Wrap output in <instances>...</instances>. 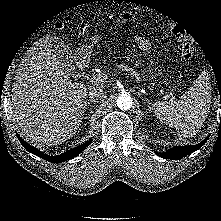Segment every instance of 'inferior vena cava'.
Here are the masks:
<instances>
[{
	"label": "inferior vena cava",
	"instance_id": "inferior-vena-cava-1",
	"mask_svg": "<svg viewBox=\"0 0 221 221\" xmlns=\"http://www.w3.org/2000/svg\"><path fill=\"white\" fill-rule=\"evenodd\" d=\"M88 95L92 100H100L105 97L106 92L103 91L102 89L92 88L90 89Z\"/></svg>",
	"mask_w": 221,
	"mask_h": 221
}]
</instances>
